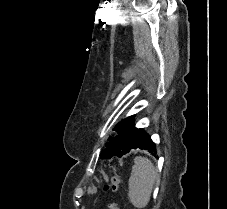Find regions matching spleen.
<instances>
[{"mask_svg":"<svg viewBox=\"0 0 227 209\" xmlns=\"http://www.w3.org/2000/svg\"><path fill=\"white\" fill-rule=\"evenodd\" d=\"M155 169L147 157H135L128 181L129 199L136 209H144L148 205L155 183Z\"/></svg>","mask_w":227,"mask_h":209,"instance_id":"3e777b00","label":"spleen"}]
</instances>
